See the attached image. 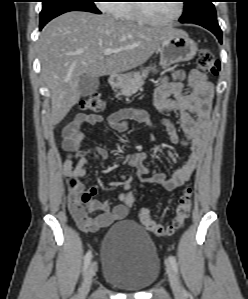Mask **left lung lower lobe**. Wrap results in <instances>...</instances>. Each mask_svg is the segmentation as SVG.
Returning <instances> with one entry per match:
<instances>
[{"mask_svg":"<svg viewBox=\"0 0 248 299\" xmlns=\"http://www.w3.org/2000/svg\"><path fill=\"white\" fill-rule=\"evenodd\" d=\"M197 25H200L210 30L212 33H214V35H216L219 42L222 43V31L217 21H202V22H198Z\"/></svg>","mask_w":248,"mask_h":299,"instance_id":"1","label":"left lung lower lobe"}]
</instances>
